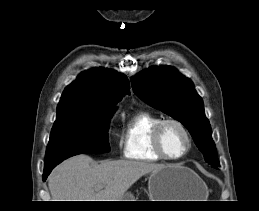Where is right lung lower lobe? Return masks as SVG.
Instances as JSON below:
<instances>
[{"label": "right lung lower lobe", "instance_id": "98d812e1", "mask_svg": "<svg viewBox=\"0 0 259 211\" xmlns=\"http://www.w3.org/2000/svg\"><path fill=\"white\" fill-rule=\"evenodd\" d=\"M56 165H52L49 167H45L44 168V174H43V180L45 181L48 177V175L50 174V172L52 171V169L55 167Z\"/></svg>", "mask_w": 259, "mask_h": 211}]
</instances>
